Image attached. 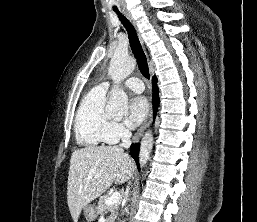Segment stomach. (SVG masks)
I'll list each match as a JSON object with an SVG mask.
<instances>
[{"label":"stomach","mask_w":257,"mask_h":222,"mask_svg":"<svg viewBox=\"0 0 257 222\" xmlns=\"http://www.w3.org/2000/svg\"><path fill=\"white\" fill-rule=\"evenodd\" d=\"M83 214L88 221H93L97 217V211L94 205H86L83 207Z\"/></svg>","instance_id":"stomach-1"}]
</instances>
